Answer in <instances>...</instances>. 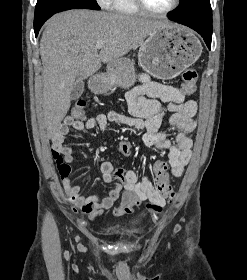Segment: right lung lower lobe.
Listing matches in <instances>:
<instances>
[{"label":"right lung lower lobe","instance_id":"98d812e1","mask_svg":"<svg viewBox=\"0 0 247 280\" xmlns=\"http://www.w3.org/2000/svg\"><path fill=\"white\" fill-rule=\"evenodd\" d=\"M43 25V23L41 24H34V31H35V35L37 36L38 35V32L41 28V26Z\"/></svg>","mask_w":247,"mask_h":280}]
</instances>
